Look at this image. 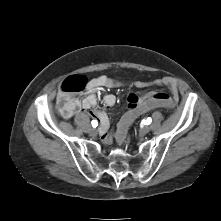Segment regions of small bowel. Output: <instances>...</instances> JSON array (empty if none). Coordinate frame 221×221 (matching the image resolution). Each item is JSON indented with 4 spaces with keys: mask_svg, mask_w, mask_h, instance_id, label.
I'll return each mask as SVG.
<instances>
[{
    "mask_svg": "<svg viewBox=\"0 0 221 221\" xmlns=\"http://www.w3.org/2000/svg\"><path fill=\"white\" fill-rule=\"evenodd\" d=\"M154 83L159 86L167 87L170 91V95L167 96L173 101L175 102L177 101L179 92H178V85L175 79L171 77H163L161 79L155 80ZM135 84L137 87H144L147 85V83L143 81H137ZM118 86L119 82L105 75L93 78L89 82L88 90L82 99H78L76 97H73L71 99L69 105L70 111L68 117L72 116L75 112H80V111L90 114L92 117L98 119L100 123V135L102 140L105 143H111L113 140V136L109 133L110 120L106 110L96 108L97 105L96 91L100 88H115ZM152 96H153L152 92L148 90L144 92L140 91L136 93L132 92L128 96V108L134 105H139L145 102L146 100L147 101L151 100ZM103 102L105 108L110 109L114 106L116 98L113 94L107 93L104 94L103 96ZM114 137L118 141L117 139L118 135L116 134V132L114 134Z\"/></svg>",
    "mask_w": 221,
    "mask_h": 221,
    "instance_id": "small-bowel-1",
    "label": "small bowel"
}]
</instances>
